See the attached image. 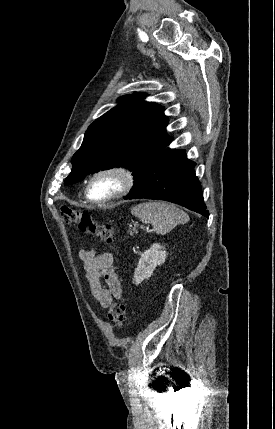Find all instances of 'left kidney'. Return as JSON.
<instances>
[{
	"mask_svg": "<svg viewBox=\"0 0 275 429\" xmlns=\"http://www.w3.org/2000/svg\"><path fill=\"white\" fill-rule=\"evenodd\" d=\"M160 244H153L150 249L145 251L134 272L133 283L138 285L143 280L149 279L157 265H160L165 262L167 253Z\"/></svg>",
	"mask_w": 275,
	"mask_h": 429,
	"instance_id": "obj_1",
	"label": "left kidney"
}]
</instances>
